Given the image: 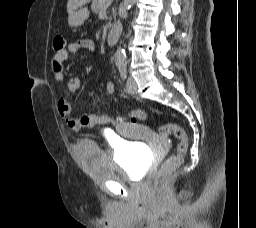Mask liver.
Here are the masks:
<instances>
[{
	"label": "liver",
	"mask_w": 256,
	"mask_h": 228,
	"mask_svg": "<svg viewBox=\"0 0 256 228\" xmlns=\"http://www.w3.org/2000/svg\"><path fill=\"white\" fill-rule=\"evenodd\" d=\"M90 0H68L67 3V12L68 14L72 13L74 10L82 7L86 3H88Z\"/></svg>",
	"instance_id": "obj_1"
}]
</instances>
